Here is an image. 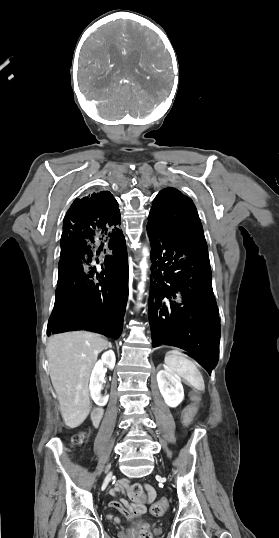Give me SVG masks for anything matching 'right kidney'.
Listing matches in <instances>:
<instances>
[{
    "label": "right kidney",
    "mask_w": 279,
    "mask_h": 538,
    "mask_svg": "<svg viewBox=\"0 0 279 538\" xmlns=\"http://www.w3.org/2000/svg\"><path fill=\"white\" fill-rule=\"evenodd\" d=\"M115 362L116 358L114 352H112V350H108V352H104V354H102L101 360H98L93 368L89 388L92 400H94L97 406H106L109 398V396H102L101 394L102 384L105 378V370L103 366H106V368H109V370H113Z\"/></svg>",
    "instance_id": "ca27d5eb"
}]
</instances>
